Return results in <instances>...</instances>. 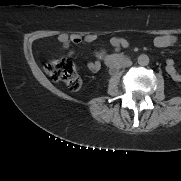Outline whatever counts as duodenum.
I'll return each mask as SVG.
<instances>
[{"instance_id": "duodenum-1", "label": "duodenum", "mask_w": 181, "mask_h": 181, "mask_svg": "<svg viewBox=\"0 0 181 181\" xmlns=\"http://www.w3.org/2000/svg\"><path fill=\"white\" fill-rule=\"evenodd\" d=\"M125 61V57H123V56H114V57H112L111 59H110V62L112 63V64H120V63H122V62H124Z\"/></svg>"}]
</instances>
